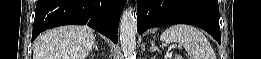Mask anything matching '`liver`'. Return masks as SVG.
I'll list each match as a JSON object with an SVG mask.
<instances>
[{"label": "liver", "instance_id": "liver-1", "mask_svg": "<svg viewBox=\"0 0 261 59\" xmlns=\"http://www.w3.org/2000/svg\"><path fill=\"white\" fill-rule=\"evenodd\" d=\"M94 43L93 30L88 26H61L37 37L33 59H86Z\"/></svg>", "mask_w": 261, "mask_h": 59}]
</instances>
